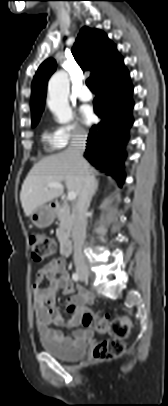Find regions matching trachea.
Segmentation results:
<instances>
[{"instance_id": "obj_1", "label": "trachea", "mask_w": 168, "mask_h": 406, "mask_svg": "<svg viewBox=\"0 0 168 406\" xmlns=\"http://www.w3.org/2000/svg\"><path fill=\"white\" fill-rule=\"evenodd\" d=\"M86 85L88 86V88L91 90V91H95V86H94V83H93V81H92V79L91 78H88L87 80H86Z\"/></svg>"}]
</instances>
